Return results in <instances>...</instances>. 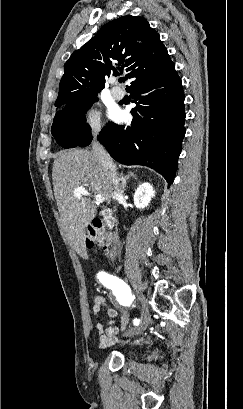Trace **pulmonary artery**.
<instances>
[{"mask_svg": "<svg viewBox=\"0 0 243 409\" xmlns=\"http://www.w3.org/2000/svg\"><path fill=\"white\" fill-rule=\"evenodd\" d=\"M111 94L115 99L120 100L124 97L125 93L120 87L115 86L111 89Z\"/></svg>", "mask_w": 243, "mask_h": 409, "instance_id": "e3ab8cb5", "label": "pulmonary artery"}]
</instances>
